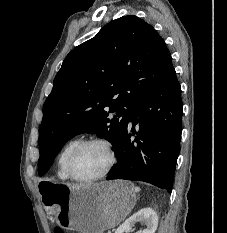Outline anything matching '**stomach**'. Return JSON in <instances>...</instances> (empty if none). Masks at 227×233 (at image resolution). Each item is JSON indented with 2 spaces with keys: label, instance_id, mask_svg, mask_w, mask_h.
I'll return each instance as SVG.
<instances>
[{
  "label": "stomach",
  "instance_id": "0dacf381",
  "mask_svg": "<svg viewBox=\"0 0 227 233\" xmlns=\"http://www.w3.org/2000/svg\"><path fill=\"white\" fill-rule=\"evenodd\" d=\"M39 193L46 211L60 226L80 233H103L114 228L137 201L133 185L122 180L83 187L43 181Z\"/></svg>",
  "mask_w": 227,
  "mask_h": 233
}]
</instances>
